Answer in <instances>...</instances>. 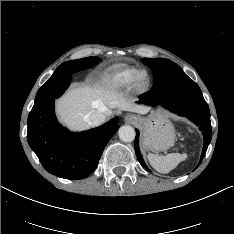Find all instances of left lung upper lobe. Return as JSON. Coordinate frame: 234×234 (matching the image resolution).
<instances>
[{
    "mask_svg": "<svg viewBox=\"0 0 234 234\" xmlns=\"http://www.w3.org/2000/svg\"><path fill=\"white\" fill-rule=\"evenodd\" d=\"M142 62L153 71L154 86L152 89L159 88L173 80L187 76L176 63L168 59L143 58Z\"/></svg>",
    "mask_w": 234,
    "mask_h": 234,
    "instance_id": "left-lung-upper-lobe-1",
    "label": "left lung upper lobe"
}]
</instances>
